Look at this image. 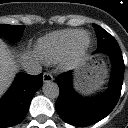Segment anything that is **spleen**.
Instances as JSON below:
<instances>
[{"instance_id":"1","label":"spleen","mask_w":128,"mask_h":128,"mask_svg":"<svg viewBox=\"0 0 128 128\" xmlns=\"http://www.w3.org/2000/svg\"><path fill=\"white\" fill-rule=\"evenodd\" d=\"M99 81L96 78H91L89 81H87L84 85V88L87 91H91L93 88L97 87L99 85Z\"/></svg>"}]
</instances>
